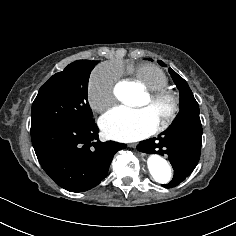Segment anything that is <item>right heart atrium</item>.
Segmentation results:
<instances>
[{"mask_svg": "<svg viewBox=\"0 0 236 236\" xmlns=\"http://www.w3.org/2000/svg\"><path fill=\"white\" fill-rule=\"evenodd\" d=\"M117 80L118 73L106 64L93 70L88 81V99L94 111L104 112L114 104Z\"/></svg>", "mask_w": 236, "mask_h": 236, "instance_id": "right-heart-atrium-1", "label": "right heart atrium"}]
</instances>
